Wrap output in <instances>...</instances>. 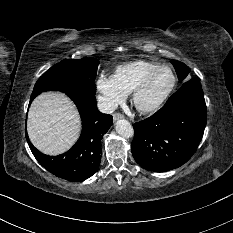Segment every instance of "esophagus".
<instances>
[{"label":"esophagus","mask_w":233,"mask_h":233,"mask_svg":"<svg viewBox=\"0 0 233 233\" xmlns=\"http://www.w3.org/2000/svg\"><path fill=\"white\" fill-rule=\"evenodd\" d=\"M124 116L121 113H114L113 114V120L117 121L119 119H122Z\"/></svg>","instance_id":"esophagus-1"}]
</instances>
